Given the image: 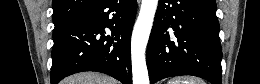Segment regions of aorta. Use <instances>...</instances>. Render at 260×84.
Wrapping results in <instances>:
<instances>
[{
  "instance_id": "obj_1",
  "label": "aorta",
  "mask_w": 260,
  "mask_h": 84,
  "mask_svg": "<svg viewBox=\"0 0 260 84\" xmlns=\"http://www.w3.org/2000/svg\"><path fill=\"white\" fill-rule=\"evenodd\" d=\"M158 0H142L131 38L133 84H149L145 51L153 25Z\"/></svg>"
}]
</instances>
